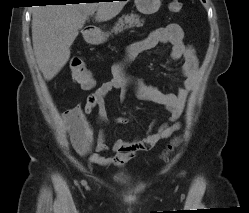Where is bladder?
I'll use <instances>...</instances> for the list:
<instances>
[{"label": "bladder", "instance_id": "1", "mask_svg": "<svg viewBox=\"0 0 249 213\" xmlns=\"http://www.w3.org/2000/svg\"><path fill=\"white\" fill-rule=\"evenodd\" d=\"M115 181H117V182H119V183H122V182H124L125 181V177L123 176V175H117L116 177H115Z\"/></svg>", "mask_w": 249, "mask_h": 213}]
</instances>
